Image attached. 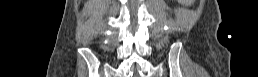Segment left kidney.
Masks as SVG:
<instances>
[{
  "label": "left kidney",
  "instance_id": "5707ae66",
  "mask_svg": "<svg viewBox=\"0 0 258 77\" xmlns=\"http://www.w3.org/2000/svg\"><path fill=\"white\" fill-rule=\"evenodd\" d=\"M179 2H182V3H187L189 2V0H178Z\"/></svg>",
  "mask_w": 258,
  "mask_h": 77
}]
</instances>
